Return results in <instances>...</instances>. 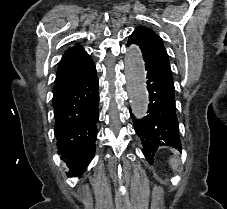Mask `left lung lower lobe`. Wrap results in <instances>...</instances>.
Here are the masks:
<instances>
[{"mask_svg": "<svg viewBox=\"0 0 227 209\" xmlns=\"http://www.w3.org/2000/svg\"><path fill=\"white\" fill-rule=\"evenodd\" d=\"M145 69L150 101L148 115L137 119L131 110L130 115L142 142L144 155L149 163H153L159 147L169 146L181 150L182 146L179 140L174 84L156 69Z\"/></svg>", "mask_w": 227, "mask_h": 209, "instance_id": "obj_1", "label": "left lung lower lobe"}]
</instances>
